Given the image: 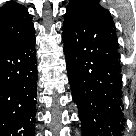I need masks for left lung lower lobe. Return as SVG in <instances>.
Masks as SVG:
<instances>
[{"label":"left lung lower lobe","mask_w":136,"mask_h":136,"mask_svg":"<svg viewBox=\"0 0 136 136\" xmlns=\"http://www.w3.org/2000/svg\"><path fill=\"white\" fill-rule=\"evenodd\" d=\"M63 42L83 136H119L122 81L113 22L65 19Z\"/></svg>","instance_id":"0a47b994"}]
</instances>
